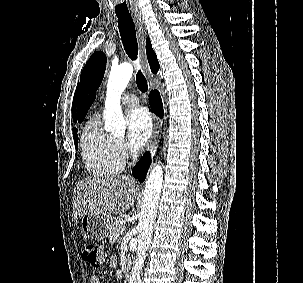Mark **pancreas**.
<instances>
[{
    "label": "pancreas",
    "mask_w": 303,
    "mask_h": 283,
    "mask_svg": "<svg viewBox=\"0 0 303 283\" xmlns=\"http://www.w3.org/2000/svg\"><path fill=\"white\" fill-rule=\"evenodd\" d=\"M124 228L123 225L120 224V220H114L112 224V228L109 234V241L111 243H117L120 240V234L122 229Z\"/></svg>",
    "instance_id": "obj_1"
}]
</instances>
